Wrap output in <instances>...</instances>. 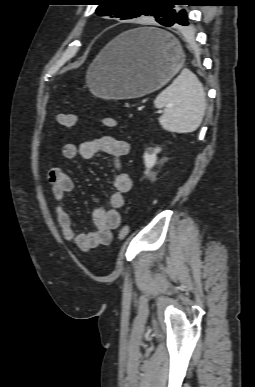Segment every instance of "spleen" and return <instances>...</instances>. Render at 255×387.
<instances>
[{
    "instance_id": "obj_1",
    "label": "spleen",
    "mask_w": 255,
    "mask_h": 387,
    "mask_svg": "<svg viewBox=\"0 0 255 387\" xmlns=\"http://www.w3.org/2000/svg\"><path fill=\"white\" fill-rule=\"evenodd\" d=\"M156 108H164L159 118L163 129L191 133L200 126L206 109L205 92L197 76L188 69L165 88L155 99Z\"/></svg>"
}]
</instances>
